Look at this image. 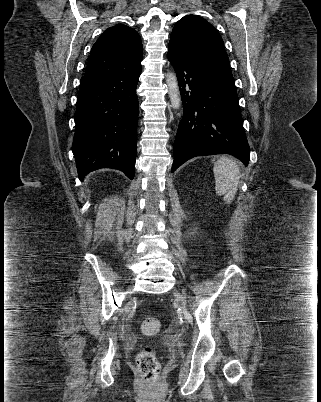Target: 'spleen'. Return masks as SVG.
I'll use <instances>...</instances> for the list:
<instances>
[{"instance_id": "spleen-1", "label": "spleen", "mask_w": 321, "mask_h": 402, "mask_svg": "<svg viewBox=\"0 0 321 402\" xmlns=\"http://www.w3.org/2000/svg\"><path fill=\"white\" fill-rule=\"evenodd\" d=\"M214 162L215 190L218 196H224L226 204H230L235 197L239 184V167L229 157L222 156Z\"/></svg>"}]
</instances>
